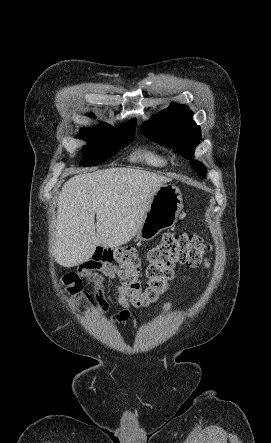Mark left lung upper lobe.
<instances>
[{
    "instance_id": "obj_1",
    "label": "left lung upper lobe",
    "mask_w": 271,
    "mask_h": 443,
    "mask_svg": "<svg viewBox=\"0 0 271 443\" xmlns=\"http://www.w3.org/2000/svg\"><path fill=\"white\" fill-rule=\"evenodd\" d=\"M193 112L186 105L172 103L167 109L142 124L145 137L161 145L172 147L175 152L190 160L201 178L206 176L205 166L193 160L194 150L201 140V130L192 120Z\"/></svg>"
}]
</instances>
